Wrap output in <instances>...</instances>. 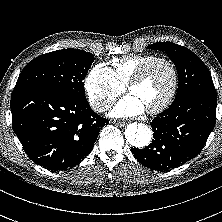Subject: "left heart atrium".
Here are the masks:
<instances>
[{
    "instance_id": "obj_1",
    "label": "left heart atrium",
    "mask_w": 222,
    "mask_h": 222,
    "mask_svg": "<svg viewBox=\"0 0 222 222\" xmlns=\"http://www.w3.org/2000/svg\"><path fill=\"white\" fill-rule=\"evenodd\" d=\"M146 110L142 101L130 93L122 98L111 111L114 117H132L142 114Z\"/></svg>"
}]
</instances>
